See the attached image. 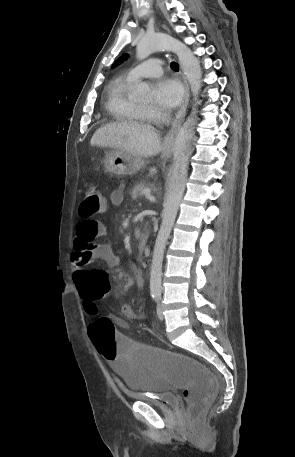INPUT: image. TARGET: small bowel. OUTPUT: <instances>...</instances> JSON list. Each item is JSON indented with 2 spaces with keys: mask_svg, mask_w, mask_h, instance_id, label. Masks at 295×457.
<instances>
[{
  "mask_svg": "<svg viewBox=\"0 0 295 457\" xmlns=\"http://www.w3.org/2000/svg\"><path fill=\"white\" fill-rule=\"evenodd\" d=\"M123 200L124 193L122 189H116L111 192L110 203L113 206H119ZM106 233V226L102 222L94 219H84L76 226V237L74 240L75 254L71 259V271L73 282L80 294L82 288L87 285V271H91L87 269V267L91 263L97 260H103L108 266L115 267L121 262L120 258L113 252L109 244L95 241L96 238L102 237ZM133 273L137 286L142 287L144 283L143 277L136 269H133ZM121 313L123 317L127 319L135 317L133 307L128 303L121 306ZM110 320L120 327H127L126 322L118 317H112ZM129 341L133 340L129 338ZM110 362H112V360H110Z\"/></svg>",
  "mask_w": 295,
  "mask_h": 457,
  "instance_id": "1",
  "label": "small bowel"
}]
</instances>
